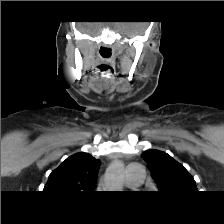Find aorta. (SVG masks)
Segmentation results:
<instances>
[{"instance_id": "762f6f07", "label": "aorta", "mask_w": 224, "mask_h": 224, "mask_svg": "<svg viewBox=\"0 0 224 224\" xmlns=\"http://www.w3.org/2000/svg\"><path fill=\"white\" fill-rule=\"evenodd\" d=\"M124 166L119 160H114L106 171V186L109 191H118L123 187Z\"/></svg>"}]
</instances>
